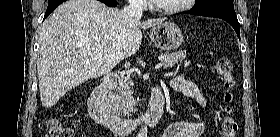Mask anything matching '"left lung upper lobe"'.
Returning <instances> with one entry per match:
<instances>
[{
	"label": "left lung upper lobe",
	"instance_id": "left-lung-upper-lobe-1",
	"mask_svg": "<svg viewBox=\"0 0 280 137\" xmlns=\"http://www.w3.org/2000/svg\"><path fill=\"white\" fill-rule=\"evenodd\" d=\"M191 11H218L235 14L233 0H198Z\"/></svg>",
	"mask_w": 280,
	"mask_h": 137
}]
</instances>
